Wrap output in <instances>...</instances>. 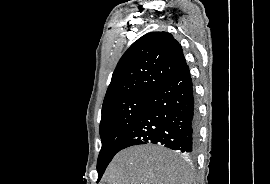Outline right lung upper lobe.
<instances>
[{"instance_id": "right-lung-upper-lobe-1", "label": "right lung upper lobe", "mask_w": 270, "mask_h": 184, "mask_svg": "<svg viewBox=\"0 0 270 184\" xmlns=\"http://www.w3.org/2000/svg\"><path fill=\"white\" fill-rule=\"evenodd\" d=\"M185 65L182 47L170 33H147L120 59L103 105L134 95L149 96Z\"/></svg>"}]
</instances>
